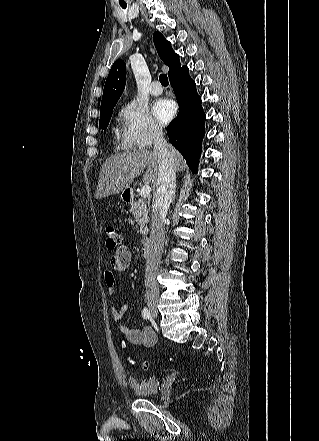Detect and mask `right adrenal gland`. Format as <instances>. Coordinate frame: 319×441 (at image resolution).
<instances>
[{
    "instance_id": "right-adrenal-gland-1",
    "label": "right adrenal gland",
    "mask_w": 319,
    "mask_h": 441,
    "mask_svg": "<svg viewBox=\"0 0 319 441\" xmlns=\"http://www.w3.org/2000/svg\"><path fill=\"white\" fill-rule=\"evenodd\" d=\"M175 200V191H174V195H173V201Z\"/></svg>"
}]
</instances>
